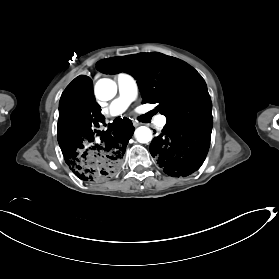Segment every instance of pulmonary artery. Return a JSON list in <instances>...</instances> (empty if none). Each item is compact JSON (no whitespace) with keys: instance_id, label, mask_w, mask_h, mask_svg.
<instances>
[{"instance_id":"1","label":"pulmonary artery","mask_w":279,"mask_h":279,"mask_svg":"<svg viewBox=\"0 0 279 279\" xmlns=\"http://www.w3.org/2000/svg\"><path fill=\"white\" fill-rule=\"evenodd\" d=\"M114 80L118 87V96L108 103L102 113L106 116H113L122 113L136 97V82L128 74H116Z\"/></svg>"}]
</instances>
